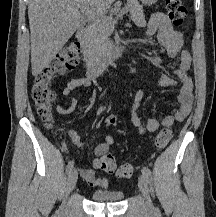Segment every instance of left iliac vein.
<instances>
[{"label": "left iliac vein", "instance_id": "4c4485c4", "mask_svg": "<svg viewBox=\"0 0 216 217\" xmlns=\"http://www.w3.org/2000/svg\"><path fill=\"white\" fill-rule=\"evenodd\" d=\"M138 186L145 199V203H146L148 211L152 213L154 211V206H153V203L149 195V187H148V182H147L145 175L143 174L140 175L138 179Z\"/></svg>", "mask_w": 216, "mask_h": 217}]
</instances>
